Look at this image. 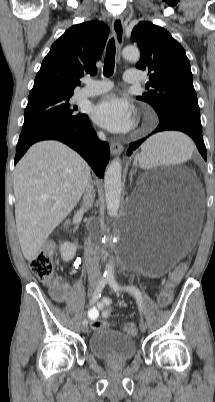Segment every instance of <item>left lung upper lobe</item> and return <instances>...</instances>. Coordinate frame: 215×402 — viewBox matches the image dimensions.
<instances>
[{
    "label": "left lung upper lobe",
    "mask_w": 215,
    "mask_h": 402,
    "mask_svg": "<svg viewBox=\"0 0 215 402\" xmlns=\"http://www.w3.org/2000/svg\"><path fill=\"white\" fill-rule=\"evenodd\" d=\"M141 57L136 67L147 71L152 89L137 97L149 103L158 116L181 114L200 121L190 63L183 47L162 27L141 21L133 29Z\"/></svg>",
    "instance_id": "5c2ea615"
}]
</instances>
